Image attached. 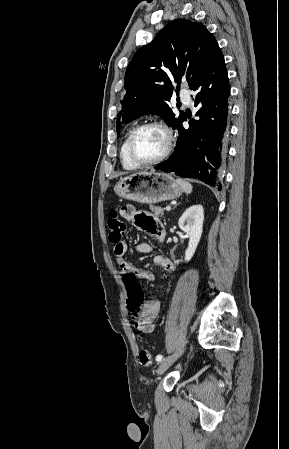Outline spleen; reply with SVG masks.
Returning a JSON list of instances; mask_svg holds the SVG:
<instances>
[{
	"label": "spleen",
	"instance_id": "3e777b00",
	"mask_svg": "<svg viewBox=\"0 0 289 449\" xmlns=\"http://www.w3.org/2000/svg\"><path fill=\"white\" fill-rule=\"evenodd\" d=\"M176 181L187 194H190L192 192L193 187L189 182H187L183 179H177Z\"/></svg>",
	"mask_w": 289,
	"mask_h": 449
}]
</instances>
